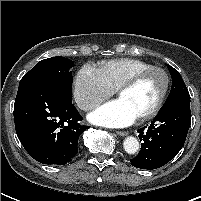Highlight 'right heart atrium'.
<instances>
[{"label":"right heart atrium","mask_w":201,"mask_h":201,"mask_svg":"<svg viewBox=\"0 0 201 201\" xmlns=\"http://www.w3.org/2000/svg\"><path fill=\"white\" fill-rule=\"evenodd\" d=\"M112 90L104 81L97 68L84 65L76 74L73 96L80 109L91 111L112 96Z\"/></svg>","instance_id":"obj_1"}]
</instances>
